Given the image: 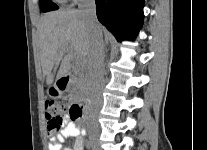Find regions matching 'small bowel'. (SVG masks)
<instances>
[{
  "instance_id": "c3829d8e",
  "label": "small bowel",
  "mask_w": 207,
  "mask_h": 150,
  "mask_svg": "<svg viewBox=\"0 0 207 150\" xmlns=\"http://www.w3.org/2000/svg\"><path fill=\"white\" fill-rule=\"evenodd\" d=\"M85 135V131L81 130L77 123L65 121L60 131L51 135L49 150H83ZM70 137L75 138L74 145L72 147H65V140Z\"/></svg>"
}]
</instances>
